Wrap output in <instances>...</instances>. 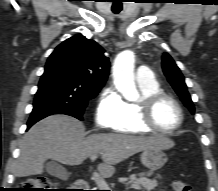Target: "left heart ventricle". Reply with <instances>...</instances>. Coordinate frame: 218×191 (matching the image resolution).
<instances>
[{"label": "left heart ventricle", "mask_w": 218, "mask_h": 191, "mask_svg": "<svg viewBox=\"0 0 218 191\" xmlns=\"http://www.w3.org/2000/svg\"><path fill=\"white\" fill-rule=\"evenodd\" d=\"M154 120L158 127L172 129L179 123L178 109L171 101L163 99L155 106Z\"/></svg>", "instance_id": "1"}]
</instances>
